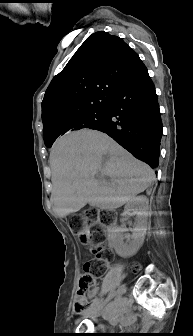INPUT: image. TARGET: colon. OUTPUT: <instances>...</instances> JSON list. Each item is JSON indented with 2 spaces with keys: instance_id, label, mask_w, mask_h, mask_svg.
Segmentation results:
<instances>
[{
  "instance_id": "5ec220e1",
  "label": "colon",
  "mask_w": 193,
  "mask_h": 336,
  "mask_svg": "<svg viewBox=\"0 0 193 336\" xmlns=\"http://www.w3.org/2000/svg\"><path fill=\"white\" fill-rule=\"evenodd\" d=\"M108 221V214L90 210L84 214H75L70 219V226L77 231V235L83 244L90 246L92 252L105 263L108 254L104 249L105 231L104 224ZM92 263L86 262L83 266L84 273L81 275L77 290V300L75 303V312L77 314L86 311L95 303L85 298L86 294L93 289L95 277L90 272ZM133 271L139 270V265L133 266Z\"/></svg>"
}]
</instances>
